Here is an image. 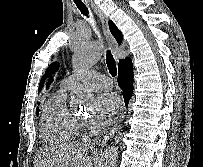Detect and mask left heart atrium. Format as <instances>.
Returning <instances> with one entry per match:
<instances>
[{
  "label": "left heart atrium",
  "instance_id": "39dd6f15",
  "mask_svg": "<svg viewBox=\"0 0 203 167\" xmlns=\"http://www.w3.org/2000/svg\"><path fill=\"white\" fill-rule=\"evenodd\" d=\"M121 109V100L114 92H104L96 100L97 123L101 126L112 123Z\"/></svg>",
  "mask_w": 203,
  "mask_h": 167
}]
</instances>
